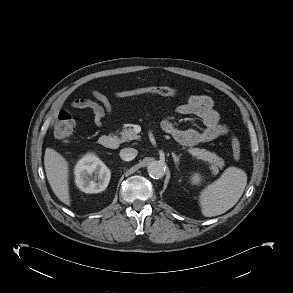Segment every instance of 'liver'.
<instances>
[{"mask_svg":"<svg viewBox=\"0 0 293 293\" xmlns=\"http://www.w3.org/2000/svg\"><path fill=\"white\" fill-rule=\"evenodd\" d=\"M44 165L48 182L57 198L70 205L69 167L66 159L52 148H46Z\"/></svg>","mask_w":293,"mask_h":293,"instance_id":"1","label":"liver"}]
</instances>
